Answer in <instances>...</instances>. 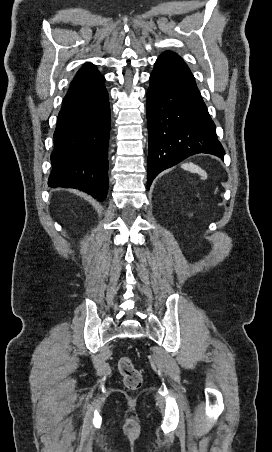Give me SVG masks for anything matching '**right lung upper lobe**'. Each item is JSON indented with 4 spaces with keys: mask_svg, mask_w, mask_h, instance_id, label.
I'll list each match as a JSON object with an SVG mask.
<instances>
[{
    "mask_svg": "<svg viewBox=\"0 0 272 452\" xmlns=\"http://www.w3.org/2000/svg\"><path fill=\"white\" fill-rule=\"evenodd\" d=\"M101 76L100 72L91 63H85L77 72L71 86L82 85L93 82Z\"/></svg>",
    "mask_w": 272,
    "mask_h": 452,
    "instance_id": "right-lung-upper-lobe-1",
    "label": "right lung upper lobe"
}]
</instances>
